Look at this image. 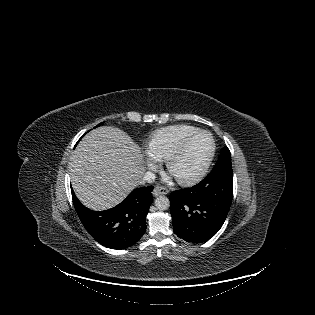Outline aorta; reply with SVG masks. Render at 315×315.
Listing matches in <instances>:
<instances>
[{
  "mask_svg": "<svg viewBox=\"0 0 315 315\" xmlns=\"http://www.w3.org/2000/svg\"><path fill=\"white\" fill-rule=\"evenodd\" d=\"M155 206L158 210H167L170 206V201L166 196H159L155 199Z\"/></svg>",
  "mask_w": 315,
  "mask_h": 315,
  "instance_id": "aorta-1",
  "label": "aorta"
}]
</instances>
